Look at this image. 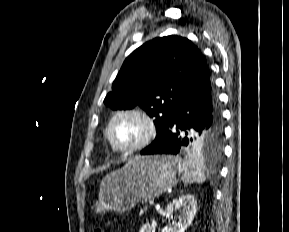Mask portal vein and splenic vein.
<instances>
[{
  "label": "portal vein and splenic vein",
  "instance_id": "18ae733b",
  "mask_svg": "<svg viewBox=\"0 0 289 232\" xmlns=\"http://www.w3.org/2000/svg\"><path fill=\"white\" fill-rule=\"evenodd\" d=\"M149 205H152V206L155 205L154 200H150V201H149Z\"/></svg>",
  "mask_w": 289,
  "mask_h": 232
}]
</instances>
